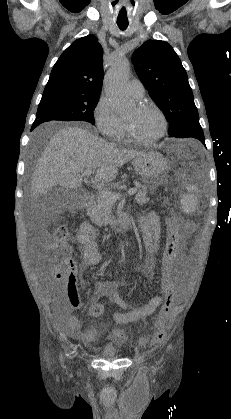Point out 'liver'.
Here are the masks:
<instances>
[{"instance_id": "1", "label": "liver", "mask_w": 231, "mask_h": 419, "mask_svg": "<svg viewBox=\"0 0 231 419\" xmlns=\"http://www.w3.org/2000/svg\"><path fill=\"white\" fill-rule=\"evenodd\" d=\"M145 151L112 148L91 130L68 126L49 140L37 162L31 183V197L46 194L56 186L66 190L80 187L86 169L96 172L100 183L112 182L118 168Z\"/></svg>"}]
</instances>
